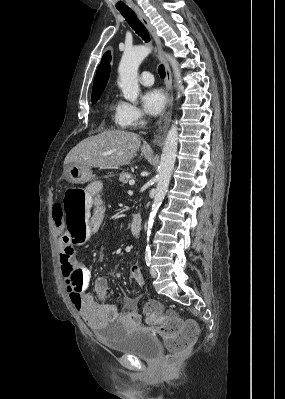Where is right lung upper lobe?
<instances>
[{
  "label": "right lung upper lobe",
  "mask_w": 285,
  "mask_h": 399,
  "mask_svg": "<svg viewBox=\"0 0 285 399\" xmlns=\"http://www.w3.org/2000/svg\"><path fill=\"white\" fill-rule=\"evenodd\" d=\"M110 61L111 55L110 51H108L103 55L101 64L99 65L98 71L96 73L92 88V96L102 94L103 90L105 89L110 75Z\"/></svg>",
  "instance_id": "right-lung-upper-lobe-1"
}]
</instances>
